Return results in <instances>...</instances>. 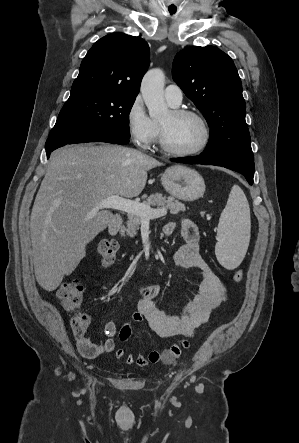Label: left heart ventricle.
<instances>
[{"label": "left heart ventricle", "instance_id": "left-heart-ventricle-1", "mask_svg": "<svg viewBox=\"0 0 299 443\" xmlns=\"http://www.w3.org/2000/svg\"><path fill=\"white\" fill-rule=\"evenodd\" d=\"M166 145L174 150L187 151L196 148L203 139L201 123L191 116H175L167 113L160 121Z\"/></svg>", "mask_w": 299, "mask_h": 443}]
</instances>
